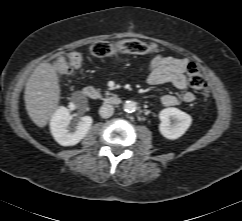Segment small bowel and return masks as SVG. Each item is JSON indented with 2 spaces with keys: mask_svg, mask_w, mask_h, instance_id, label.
<instances>
[{
  "mask_svg": "<svg viewBox=\"0 0 242 221\" xmlns=\"http://www.w3.org/2000/svg\"><path fill=\"white\" fill-rule=\"evenodd\" d=\"M188 66L186 58L158 55L154 57L145 67L147 82L150 85L170 83L182 92L181 100L185 103H192L195 95L187 90L185 72ZM165 106L178 104L179 99L173 94H165L161 97Z\"/></svg>",
  "mask_w": 242,
  "mask_h": 221,
  "instance_id": "c3829d8e",
  "label": "small bowel"
}]
</instances>
